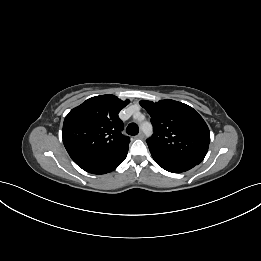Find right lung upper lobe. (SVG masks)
<instances>
[{"instance_id": "cb5924a9", "label": "right lung upper lobe", "mask_w": 261, "mask_h": 261, "mask_svg": "<svg viewBox=\"0 0 261 261\" xmlns=\"http://www.w3.org/2000/svg\"><path fill=\"white\" fill-rule=\"evenodd\" d=\"M128 103L107 94L89 98L68 113L63 123V143L73 161L128 151L130 139L121 134L123 123L118 117Z\"/></svg>"}]
</instances>
